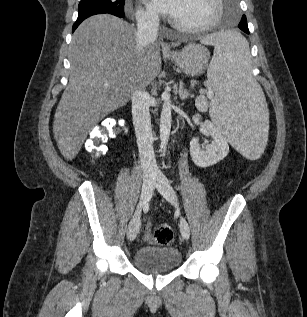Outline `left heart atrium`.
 Masks as SVG:
<instances>
[{
    "label": "left heart atrium",
    "mask_w": 307,
    "mask_h": 317,
    "mask_svg": "<svg viewBox=\"0 0 307 317\" xmlns=\"http://www.w3.org/2000/svg\"><path fill=\"white\" fill-rule=\"evenodd\" d=\"M183 0H147V5L153 11L175 16L181 7Z\"/></svg>",
    "instance_id": "1"
}]
</instances>
